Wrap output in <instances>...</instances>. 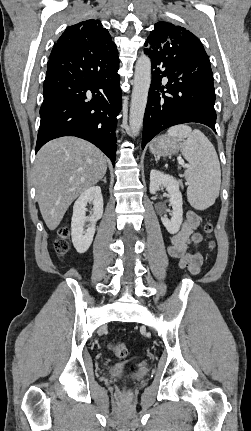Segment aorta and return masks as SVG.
Instances as JSON below:
<instances>
[{
  "label": "aorta",
  "mask_w": 251,
  "mask_h": 431,
  "mask_svg": "<svg viewBox=\"0 0 251 431\" xmlns=\"http://www.w3.org/2000/svg\"><path fill=\"white\" fill-rule=\"evenodd\" d=\"M151 83V60L141 55L135 65L134 86L131 96L129 125L134 136L138 135L144 119Z\"/></svg>",
  "instance_id": "obj_1"
}]
</instances>
